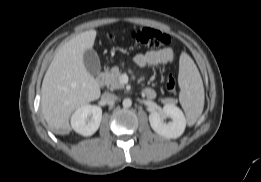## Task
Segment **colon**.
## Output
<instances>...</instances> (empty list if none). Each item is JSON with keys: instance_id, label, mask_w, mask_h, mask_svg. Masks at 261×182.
Listing matches in <instances>:
<instances>
[{"instance_id": "1", "label": "colon", "mask_w": 261, "mask_h": 182, "mask_svg": "<svg viewBox=\"0 0 261 182\" xmlns=\"http://www.w3.org/2000/svg\"><path fill=\"white\" fill-rule=\"evenodd\" d=\"M131 37L135 43L147 48H159L170 42V37L166 33L149 27L134 29ZM166 89L171 93L175 92L176 82L172 76L166 80Z\"/></svg>"}]
</instances>
